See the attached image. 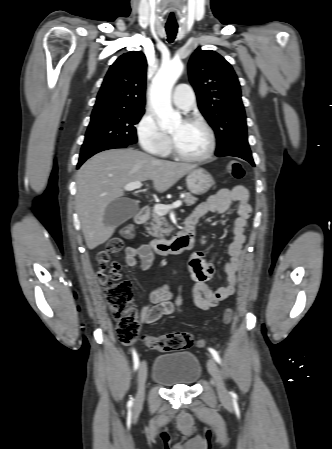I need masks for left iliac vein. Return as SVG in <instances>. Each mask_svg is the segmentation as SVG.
<instances>
[{
  "mask_svg": "<svg viewBox=\"0 0 332 449\" xmlns=\"http://www.w3.org/2000/svg\"><path fill=\"white\" fill-rule=\"evenodd\" d=\"M207 368H208L210 375L213 378V383H214L220 397L223 399H228L229 392L226 389V386L224 384L222 372H221L219 366L217 365V363L215 362V360L210 358L207 362Z\"/></svg>",
  "mask_w": 332,
  "mask_h": 449,
  "instance_id": "4c4485c4",
  "label": "left iliac vein"
}]
</instances>
